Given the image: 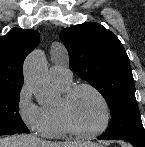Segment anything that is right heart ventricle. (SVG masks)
Returning a JSON list of instances; mask_svg holds the SVG:
<instances>
[{
    "instance_id": "right-heart-ventricle-1",
    "label": "right heart ventricle",
    "mask_w": 145,
    "mask_h": 147,
    "mask_svg": "<svg viewBox=\"0 0 145 147\" xmlns=\"http://www.w3.org/2000/svg\"><path fill=\"white\" fill-rule=\"evenodd\" d=\"M56 88L61 92H66L72 86L71 81L53 80ZM58 103L43 105L42 111L45 118L43 135L50 138H61L69 134V131L64 126L58 111Z\"/></svg>"
}]
</instances>
